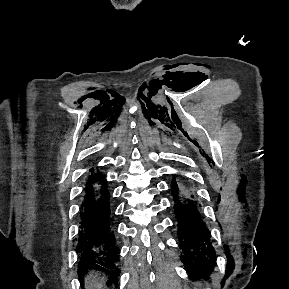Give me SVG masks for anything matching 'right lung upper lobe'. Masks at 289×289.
Returning <instances> with one entry per match:
<instances>
[{
  "label": "right lung upper lobe",
  "instance_id": "cb5924a9",
  "mask_svg": "<svg viewBox=\"0 0 289 289\" xmlns=\"http://www.w3.org/2000/svg\"><path fill=\"white\" fill-rule=\"evenodd\" d=\"M90 171H91V174L94 173V168H92Z\"/></svg>",
  "mask_w": 289,
  "mask_h": 289
}]
</instances>
